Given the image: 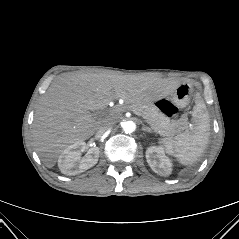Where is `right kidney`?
<instances>
[{"label":"right kidney","instance_id":"right-kidney-1","mask_svg":"<svg viewBox=\"0 0 239 239\" xmlns=\"http://www.w3.org/2000/svg\"><path fill=\"white\" fill-rule=\"evenodd\" d=\"M86 143L81 141L66 148L58 159V166L65 175H76L93 167L99 158V148H90L86 155L81 158Z\"/></svg>","mask_w":239,"mask_h":239}]
</instances>
